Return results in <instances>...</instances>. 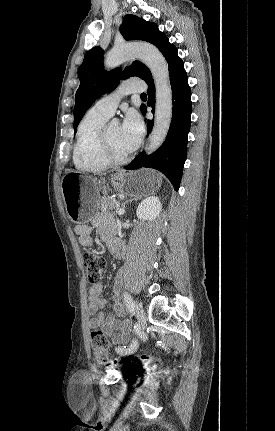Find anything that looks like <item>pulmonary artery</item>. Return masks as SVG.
Segmentation results:
<instances>
[{
  "mask_svg": "<svg viewBox=\"0 0 275 431\" xmlns=\"http://www.w3.org/2000/svg\"><path fill=\"white\" fill-rule=\"evenodd\" d=\"M146 89L145 84L139 80H127L122 82L112 93L99 99L93 108L107 116H112L123 96L130 93H141Z\"/></svg>",
  "mask_w": 275,
  "mask_h": 431,
  "instance_id": "1",
  "label": "pulmonary artery"
}]
</instances>
